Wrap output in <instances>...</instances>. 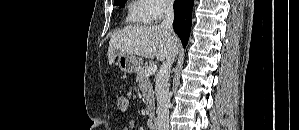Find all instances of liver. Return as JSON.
<instances>
[{
    "label": "liver",
    "instance_id": "1",
    "mask_svg": "<svg viewBox=\"0 0 299 130\" xmlns=\"http://www.w3.org/2000/svg\"><path fill=\"white\" fill-rule=\"evenodd\" d=\"M174 49L179 50L178 37L161 26H128L111 36L108 61L114 63L116 51L164 61Z\"/></svg>",
    "mask_w": 299,
    "mask_h": 130
}]
</instances>
